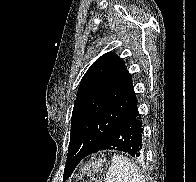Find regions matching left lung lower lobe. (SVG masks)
Instances as JSON below:
<instances>
[{
	"label": "left lung lower lobe",
	"mask_w": 196,
	"mask_h": 182,
	"mask_svg": "<svg viewBox=\"0 0 196 182\" xmlns=\"http://www.w3.org/2000/svg\"><path fill=\"white\" fill-rule=\"evenodd\" d=\"M142 133L136 101L92 152L74 148L69 151L68 162L73 160L74 165H77L84 157L103 150H117L139 157L143 154Z\"/></svg>",
	"instance_id": "left-lung-lower-lobe-1"
}]
</instances>
